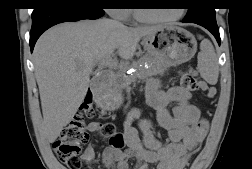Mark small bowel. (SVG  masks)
Returning <instances> with one entry per match:
<instances>
[{
	"instance_id": "obj_1",
	"label": "small bowel",
	"mask_w": 252,
	"mask_h": 169,
	"mask_svg": "<svg viewBox=\"0 0 252 169\" xmlns=\"http://www.w3.org/2000/svg\"><path fill=\"white\" fill-rule=\"evenodd\" d=\"M148 106L156 113L157 123L168 131L169 143L162 145L153 135V124L141 116L140 109H132L124 122L122 135L125 149L107 147L102 156L108 168L128 169V160H137L136 169H148L155 164L156 169H183L206 137L208 124L200 118L196 106L190 103L191 94L181 87L168 90L159 89L155 80H150L146 87ZM174 103L169 110L168 105ZM101 122H91L89 132H100ZM136 124V125H135ZM95 155V149L89 144L84 152L86 160Z\"/></svg>"
}]
</instances>
